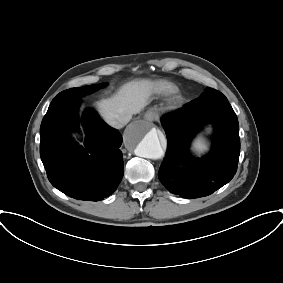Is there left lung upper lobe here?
Returning <instances> with one entry per match:
<instances>
[{
	"label": "left lung upper lobe",
	"instance_id": "1",
	"mask_svg": "<svg viewBox=\"0 0 283 283\" xmlns=\"http://www.w3.org/2000/svg\"><path fill=\"white\" fill-rule=\"evenodd\" d=\"M204 94H207V95H209L211 97H213L214 95H219V96L223 97L224 99H226V97L221 92H219V91H217L215 89L209 88V87L205 89ZM232 123L235 126H239L237 116L234 118Z\"/></svg>",
	"mask_w": 283,
	"mask_h": 283
}]
</instances>
